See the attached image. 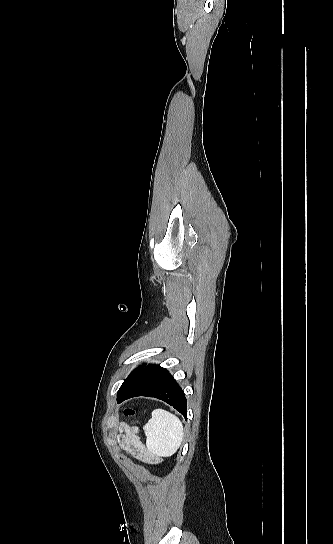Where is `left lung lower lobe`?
I'll return each mask as SVG.
<instances>
[{"label": "left lung lower lobe", "instance_id": "0a47b994", "mask_svg": "<svg viewBox=\"0 0 333 544\" xmlns=\"http://www.w3.org/2000/svg\"><path fill=\"white\" fill-rule=\"evenodd\" d=\"M136 396L161 399L173 406L187 419V400L181 387L170 373L155 364L144 366L139 373L117 394V402Z\"/></svg>", "mask_w": 333, "mask_h": 544}]
</instances>
